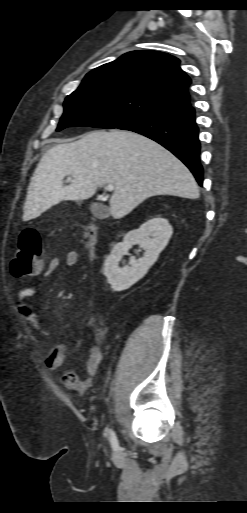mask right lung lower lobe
Returning <instances> with one entry per match:
<instances>
[{"instance_id": "obj_1", "label": "right lung lower lobe", "mask_w": 247, "mask_h": 513, "mask_svg": "<svg viewBox=\"0 0 247 513\" xmlns=\"http://www.w3.org/2000/svg\"><path fill=\"white\" fill-rule=\"evenodd\" d=\"M119 129L142 134L167 148L190 169L202 186L200 142L198 127L195 123V110L192 106L166 110L157 115L127 123Z\"/></svg>"}]
</instances>
